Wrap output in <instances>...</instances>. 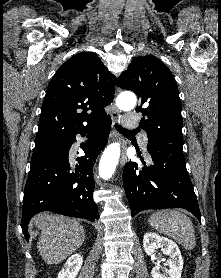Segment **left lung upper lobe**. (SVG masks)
<instances>
[{"instance_id": "1", "label": "left lung upper lobe", "mask_w": 221, "mask_h": 278, "mask_svg": "<svg viewBox=\"0 0 221 278\" xmlns=\"http://www.w3.org/2000/svg\"><path fill=\"white\" fill-rule=\"evenodd\" d=\"M117 86L132 90L140 99L136 108L144 118L140 126L148 145L159 142L183 145L181 101L170 70L156 57L139 56L117 80Z\"/></svg>"}]
</instances>
